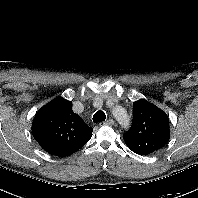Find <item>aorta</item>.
<instances>
[{"instance_id": "1", "label": "aorta", "mask_w": 198, "mask_h": 198, "mask_svg": "<svg viewBox=\"0 0 198 198\" xmlns=\"http://www.w3.org/2000/svg\"><path fill=\"white\" fill-rule=\"evenodd\" d=\"M114 117L117 119V121L124 127L127 128L130 123L129 116L126 112V110L120 106L116 107L112 111Z\"/></svg>"}]
</instances>
